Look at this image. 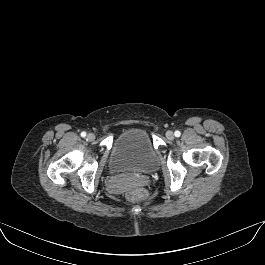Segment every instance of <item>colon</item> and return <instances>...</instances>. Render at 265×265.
<instances>
[{
  "label": "colon",
  "instance_id": "5ec220e1",
  "mask_svg": "<svg viewBox=\"0 0 265 265\" xmlns=\"http://www.w3.org/2000/svg\"><path fill=\"white\" fill-rule=\"evenodd\" d=\"M126 197L131 201H135L141 199L143 193L140 190L131 189L126 192Z\"/></svg>",
  "mask_w": 265,
  "mask_h": 265
}]
</instances>
